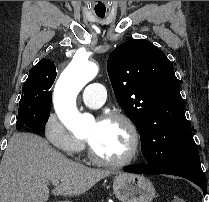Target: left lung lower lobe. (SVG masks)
I'll list each match as a JSON object with an SVG mask.
<instances>
[{"instance_id":"obj_1","label":"left lung lower lobe","mask_w":209,"mask_h":202,"mask_svg":"<svg viewBox=\"0 0 209 202\" xmlns=\"http://www.w3.org/2000/svg\"><path fill=\"white\" fill-rule=\"evenodd\" d=\"M125 172L137 174H169L186 178L197 184L206 194L207 186L205 175L200 166V157L196 145L187 147L182 153L166 165L152 166L138 164L125 167Z\"/></svg>"}]
</instances>
